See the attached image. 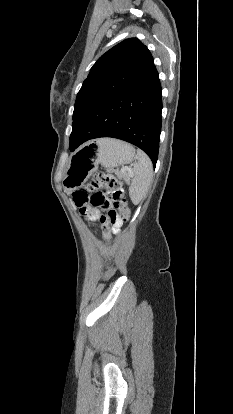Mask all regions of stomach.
<instances>
[{"label": "stomach", "instance_id": "obj_1", "mask_svg": "<svg viewBox=\"0 0 233 414\" xmlns=\"http://www.w3.org/2000/svg\"><path fill=\"white\" fill-rule=\"evenodd\" d=\"M135 149L130 144L115 139H99L76 150L66 168L63 186L73 191L84 184L101 164L108 170L131 163Z\"/></svg>", "mask_w": 233, "mask_h": 414}]
</instances>
